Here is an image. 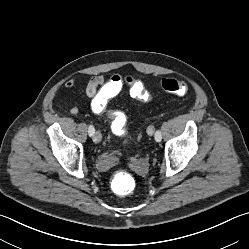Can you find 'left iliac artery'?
I'll use <instances>...</instances> for the list:
<instances>
[{
  "mask_svg": "<svg viewBox=\"0 0 249 249\" xmlns=\"http://www.w3.org/2000/svg\"><path fill=\"white\" fill-rule=\"evenodd\" d=\"M161 139H162L161 132H160V130H157L156 133H155V140H156L157 142H160Z\"/></svg>",
  "mask_w": 249,
  "mask_h": 249,
  "instance_id": "obj_1",
  "label": "left iliac artery"
}]
</instances>
